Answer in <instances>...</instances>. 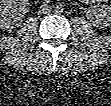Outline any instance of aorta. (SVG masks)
<instances>
[{"label": "aorta", "instance_id": "obj_1", "mask_svg": "<svg viewBox=\"0 0 111 106\" xmlns=\"http://www.w3.org/2000/svg\"><path fill=\"white\" fill-rule=\"evenodd\" d=\"M63 6L62 5H57L56 7H55V11L56 12H58V13H60V12H63Z\"/></svg>", "mask_w": 111, "mask_h": 106}]
</instances>
